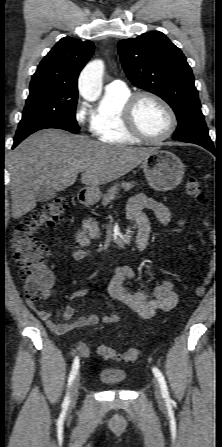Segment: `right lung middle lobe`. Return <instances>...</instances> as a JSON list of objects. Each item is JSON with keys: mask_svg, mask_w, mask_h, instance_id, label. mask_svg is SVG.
<instances>
[{"mask_svg": "<svg viewBox=\"0 0 222 447\" xmlns=\"http://www.w3.org/2000/svg\"><path fill=\"white\" fill-rule=\"evenodd\" d=\"M77 98V95L56 92L50 86L30 88L14 142L20 143L30 134L45 128L78 131L75 118Z\"/></svg>", "mask_w": 222, "mask_h": 447, "instance_id": "obj_1", "label": "right lung middle lobe"}]
</instances>
